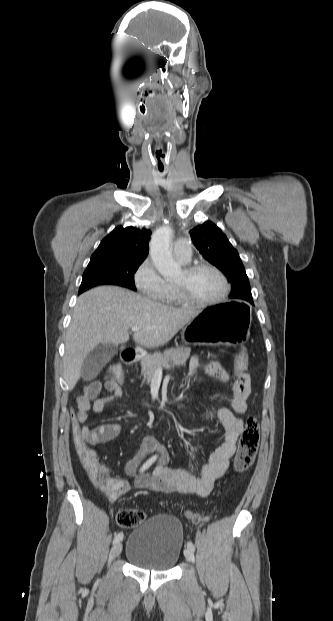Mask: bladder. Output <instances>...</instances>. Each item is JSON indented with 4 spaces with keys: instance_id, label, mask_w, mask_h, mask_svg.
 Segmentation results:
<instances>
[{
    "instance_id": "31cf9c89",
    "label": "bladder",
    "mask_w": 333,
    "mask_h": 621,
    "mask_svg": "<svg viewBox=\"0 0 333 621\" xmlns=\"http://www.w3.org/2000/svg\"><path fill=\"white\" fill-rule=\"evenodd\" d=\"M183 528L174 516L159 514L130 532L126 559L133 566L156 572L171 570L182 553Z\"/></svg>"
}]
</instances>
